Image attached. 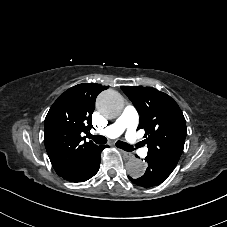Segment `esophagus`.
<instances>
[{
  "instance_id": "34e87169",
  "label": "esophagus",
  "mask_w": 227,
  "mask_h": 227,
  "mask_svg": "<svg viewBox=\"0 0 227 227\" xmlns=\"http://www.w3.org/2000/svg\"><path fill=\"white\" fill-rule=\"evenodd\" d=\"M121 153L123 154V156L126 158V159H132L134 158V155L132 153H129V152H126L124 150H120Z\"/></svg>"
}]
</instances>
